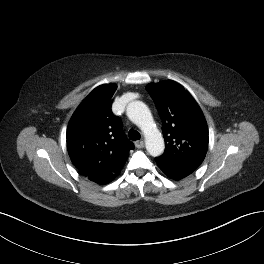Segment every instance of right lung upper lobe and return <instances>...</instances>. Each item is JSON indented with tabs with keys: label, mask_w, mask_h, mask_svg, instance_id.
Listing matches in <instances>:
<instances>
[{
	"label": "right lung upper lobe",
	"mask_w": 264,
	"mask_h": 264,
	"mask_svg": "<svg viewBox=\"0 0 264 264\" xmlns=\"http://www.w3.org/2000/svg\"><path fill=\"white\" fill-rule=\"evenodd\" d=\"M116 85L94 89L78 106L67 128V150L80 172L118 174L134 145L123 134L122 121L112 113Z\"/></svg>",
	"instance_id": "right-lung-upper-lobe-1"
}]
</instances>
